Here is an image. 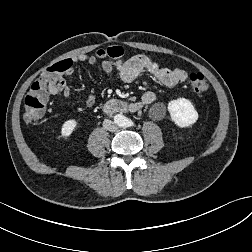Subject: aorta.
<instances>
[{
	"mask_svg": "<svg viewBox=\"0 0 252 252\" xmlns=\"http://www.w3.org/2000/svg\"><path fill=\"white\" fill-rule=\"evenodd\" d=\"M114 122L119 126V127H126L128 125V119L122 114H117L114 116Z\"/></svg>",
	"mask_w": 252,
	"mask_h": 252,
	"instance_id": "1",
	"label": "aorta"
}]
</instances>
